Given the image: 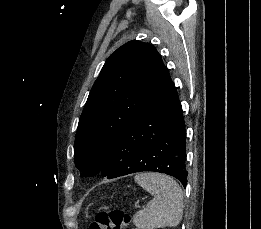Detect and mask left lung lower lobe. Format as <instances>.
Returning a JSON list of instances; mask_svg holds the SVG:
<instances>
[{
	"mask_svg": "<svg viewBox=\"0 0 261 229\" xmlns=\"http://www.w3.org/2000/svg\"><path fill=\"white\" fill-rule=\"evenodd\" d=\"M139 171L168 174L186 187V130L171 79L155 91L126 125L99 172L112 179Z\"/></svg>",
	"mask_w": 261,
	"mask_h": 229,
	"instance_id": "left-lung-lower-lobe-1",
	"label": "left lung lower lobe"
}]
</instances>
